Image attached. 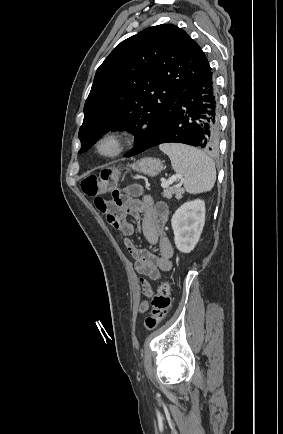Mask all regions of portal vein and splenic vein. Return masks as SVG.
<instances>
[{
    "label": "portal vein and splenic vein",
    "instance_id": "18ae733b",
    "mask_svg": "<svg viewBox=\"0 0 283 434\" xmlns=\"http://www.w3.org/2000/svg\"><path fill=\"white\" fill-rule=\"evenodd\" d=\"M177 179H181L180 175H173L171 178H169L167 181L162 179V183L161 186L163 188L168 187L171 183H173L174 181H176Z\"/></svg>",
    "mask_w": 283,
    "mask_h": 434
}]
</instances>
